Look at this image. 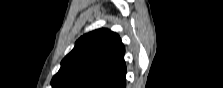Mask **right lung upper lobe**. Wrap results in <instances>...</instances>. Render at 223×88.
<instances>
[{"instance_id":"obj_1","label":"right lung upper lobe","mask_w":223,"mask_h":88,"mask_svg":"<svg viewBox=\"0 0 223 88\" xmlns=\"http://www.w3.org/2000/svg\"><path fill=\"white\" fill-rule=\"evenodd\" d=\"M124 53L115 32L98 29L85 34L62 60L52 88H125Z\"/></svg>"}]
</instances>
